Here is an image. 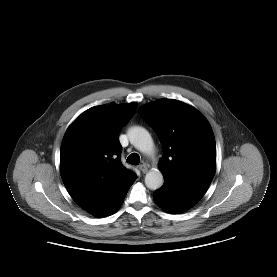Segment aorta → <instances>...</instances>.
Listing matches in <instances>:
<instances>
[{
    "label": "aorta",
    "mask_w": 277,
    "mask_h": 277,
    "mask_svg": "<svg viewBox=\"0 0 277 277\" xmlns=\"http://www.w3.org/2000/svg\"><path fill=\"white\" fill-rule=\"evenodd\" d=\"M130 143L140 152L152 154L154 143L149 132L140 126L131 127L128 130ZM163 175L158 169L150 170L145 176V185L151 190H157L163 185Z\"/></svg>",
    "instance_id": "obj_1"
}]
</instances>
